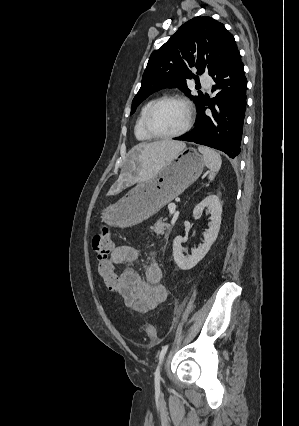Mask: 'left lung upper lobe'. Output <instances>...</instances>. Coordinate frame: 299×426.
<instances>
[{"mask_svg": "<svg viewBox=\"0 0 299 426\" xmlns=\"http://www.w3.org/2000/svg\"><path fill=\"white\" fill-rule=\"evenodd\" d=\"M235 39L224 25L211 17H195L183 24L158 50L152 52L142 85L132 101V111L150 94L162 88L181 89L199 106L202 94L192 96L187 81L214 70L235 50Z\"/></svg>", "mask_w": 299, "mask_h": 426, "instance_id": "left-lung-upper-lobe-1", "label": "left lung upper lobe"}]
</instances>
